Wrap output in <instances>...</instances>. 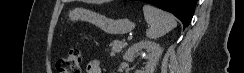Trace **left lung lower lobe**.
<instances>
[{
	"label": "left lung lower lobe",
	"mask_w": 244,
	"mask_h": 73,
	"mask_svg": "<svg viewBox=\"0 0 244 73\" xmlns=\"http://www.w3.org/2000/svg\"><path fill=\"white\" fill-rule=\"evenodd\" d=\"M171 12L187 27L194 15L197 0H140Z\"/></svg>",
	"instance_id": "obj_1"
}]
</instances>
